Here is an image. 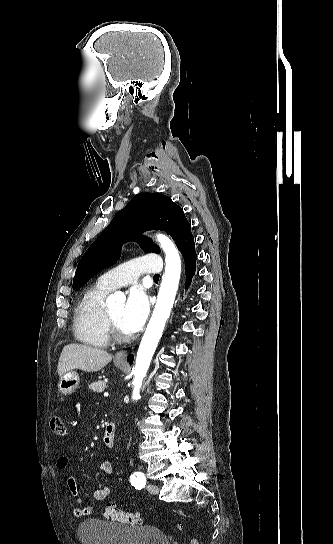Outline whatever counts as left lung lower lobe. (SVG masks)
Instances as JSON below:
<instances>
[{
  "instance_id": "1",
  "label": "left lung lower lobe",
  "mask_w": 333,
  "mask_h": 544,
  "mask_svg": "<svg viewBox=\"0 0 333 544\" xmlns=\"http://www.w3.org/2000/svg\"><path fill=\"white\" fill-rule=\"evenodd\" d=\"M184 262H185V274H186V284L185 288H187L190 285L191 279L195 273L196 268V252L195 248L190 250L185 256H184ZM130 363L133 361V355H129L127 359Z\"/></svg>"
}]
</instances>
